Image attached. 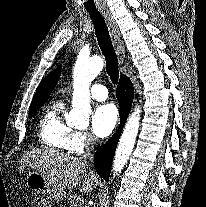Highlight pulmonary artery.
<instances>
[{
	"label": "pulmonary artery",
	"mask_w": 206,
	"mask_h": 207,
	"mask_svg": "<svg viewBox=\"0 0 206 207\" xmlns=\"http://www.w3.org/2000/svg\"><path fill=\"white\" fill-rule=\"evenodd\" d=\"M90 94L96 100H103L108 96V89L104 85L94 84L90 88Z\"/></svg>",
	"instance_id": "pulmonary-artery-1"
}]
</instances>
